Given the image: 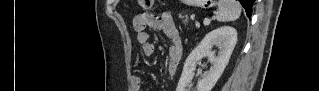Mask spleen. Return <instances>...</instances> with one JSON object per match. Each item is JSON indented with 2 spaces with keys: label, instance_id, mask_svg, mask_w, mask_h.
<instances>
[{
  "label": "spleen",
  "instance_id": "3e777b00",
  "mask_svg": "<svg viewBox=\"0 0 319 91\" xmlns=\"http://www.w3.org/2000/svg\"><path fill=\"white\" fill-rule=\"evenodd\" d=\"M241 14V5L236 0H219L216 19L219 22L235 21Z\"/></svg>",
  "mask_w": 319,
  "mask_h": 91
}]
</instances>
